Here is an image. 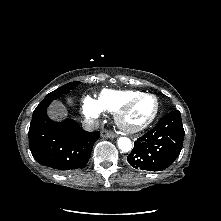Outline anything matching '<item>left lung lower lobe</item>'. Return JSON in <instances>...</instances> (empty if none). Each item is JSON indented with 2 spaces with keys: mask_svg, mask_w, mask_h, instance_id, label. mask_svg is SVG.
<instances>
[{
  "mask_svg": "<svg viewBox=\"0 0 221 221\" xmlns=\"http://www.w3.org/2000/svg\"><path fill=\"white\" fill-rule=\"evenodd\" d=\"M184 134L181 113L178 110L172 111L163 116L152 130L135 141L127 160L136 169L164 170L180 154Z\"/></svg>",
  "mask_w": 221,
  "mask_h": 221,
  "instance_id": "0a47b994",
  "label": "left lung lower lobe"
}]
</instances>
